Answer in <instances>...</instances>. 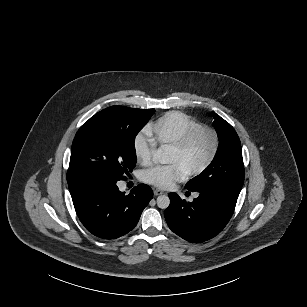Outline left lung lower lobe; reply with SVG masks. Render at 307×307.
I'll list each match as a JSON object with an SVG mask.
<instances>
[{
  "label": "left lung lower lobe",
  "mask_w": 307,
  "mask_h": 307,
  "mask_svg": "<svg viewBox=\"0 0 307 307\" xmlns=\"http://www.w3.org/2000/svg\"><path fill=\"white\" fill-rule=\"evenodd\" d=\"M170 205L165 210L169 228L183 239L199 243L218 235L230 220L237 198L220 192H199L188 203L176 193H170Z\"/></svg>",
  "instance_id": "obj_1"
}]
</instances>
